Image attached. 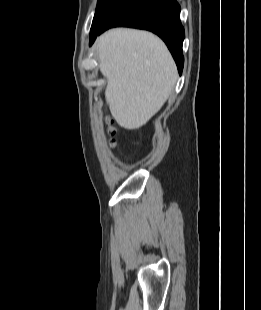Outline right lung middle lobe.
<instances>
[{"mask_svg": "<svg viewBox=\"0 0 261 310\" xmlns=\"http://www.w3.org/2000/svg\"><path fill=\"white\" fill-rule=\"evenodd\" d=\"M129 0H98L92 29L101 26L115 11Z\"/></svg>", "mask_w": 261, "mask_h": 310, "instance_id": "right-lung-middle-lobe-1", "label": "right lung middle lobe"}]
</instances>
